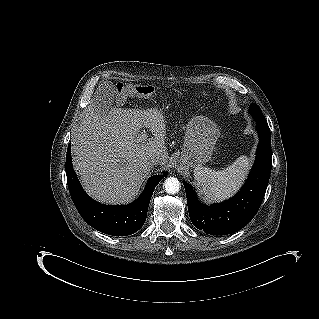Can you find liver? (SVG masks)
<instances>
[{"label":"liver","instance_id":"obj_1","mask_svg":"<svg viewBox=\"0 0 319 319\" xmlns=\"http://www.w3.org/2000/svg\"><path fill=\"white\" fill-rule=\"evenodd\" d=\"M96 96L72 138V164L92 198L106 204H125L138 195L152 170L147 163L150 157L160 156V165L168 162L166 125L156 108L145 111L111 106L101 111ZM143 127L154 137L137 143Z\"/></svg>","mask_w":319,"mask_h":319}]
</instances>
